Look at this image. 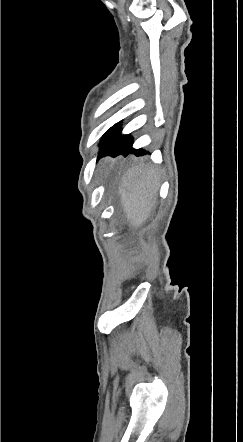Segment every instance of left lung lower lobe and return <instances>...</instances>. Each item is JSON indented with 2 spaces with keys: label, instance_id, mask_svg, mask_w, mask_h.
Returning <instances> with one entry per match:
<instances>
[{
  "label": "left lung lower lobe",
  "instance_id": "left-lung-lower-lobe-1",
  "mask_svg": "<svg viewBox=\"0 0 243 442\" xmlns=\"http://www.w3.org/2000/svg\"><path fill=\"white\" fill-rule=\"evenodd\" d=\"M133 138L130 135H121V128L118 124L107 130L101 139V149L99 157L101 156H118L120 154L126 156L129 153H134L136 156H142L149 152L143 149H133Z\"/></svg>",
  "mask_w": 243,
  "mask_h": 442
}]
</instances>
